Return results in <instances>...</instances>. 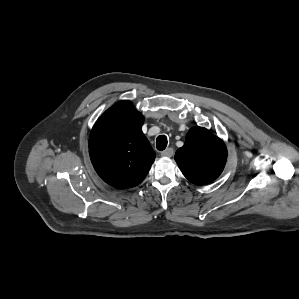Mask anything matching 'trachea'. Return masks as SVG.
Returning a JSON list of instances; mask_svg holds the SVG:
<instances>
[{"label": "trachea", "instance_id": "1", "mask_svg": "<svg viewBox=\"0 0 299 299\" xmlns=\"http://www.w3.org/2000/svg\"><path fill=\"white\" fill-rule=\"evenodd\" d=\"M167 143H168L167 137L164 135H160L156 139V147L159 151L164 150L167 146Z\"/></svg>", "mask_w": 299, "mask_h": 299}]
</instances>
